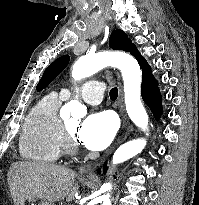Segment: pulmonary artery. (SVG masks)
Instances as JSON below:
<instances>
[{"instance_id":"e3ab8cb5","label":"pulmonary artery","mask_w":199,"mask_h":205,"mask_svg":"<svg viewBox=\"0 0 199 205\" xmlns=\"http://www.w3.org/2000/svg\"><path fill=\"white\" fill-rule=\"evenodd\" d=\"M104 90L105 86L101 81L90 80L82 85L80 95L86 103L97 105L103 99ZM61 96L64 99H68L71 96V92L68 89H63Z\"/></svg>"}]
</instances>
